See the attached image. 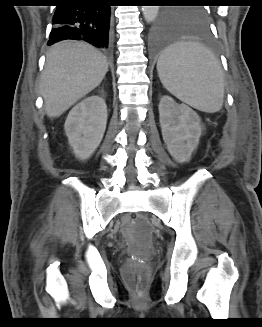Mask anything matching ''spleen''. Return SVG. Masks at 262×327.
<instances>
[{"instance_id": "3e777b00", "label": "spleen", "mask_w": 262, "mask_h": 327, "mask_svg": "<svg viewBox=\"0 0 262 327\" xmlns=\"http://www.w3.org/2000/svg\"><path fill=\"white\" fill-rule=\"evenodd\" d=\"M157 71L163 86L184 103L207 113L222 108V67L204 46L195 42L171 45L160 55Z\"/></svg>"}]
</instances>
